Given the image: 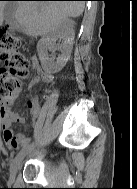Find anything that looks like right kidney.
I'll list each match as a JSON object with an SVG mask.
<instances>
[{"label": "right kidney", "instance_id": "obj_1", "mask_svg": "<svg viewBox=\"0 0 137 189\" xmlns=\"http://www.w3.org/2000/svg\"><path fill=\"white\" fill-rule=\"evenodd\" d=\"M73 25L69 20H63L55 30L44 35L37 44V52L43 69L48 73H57L62 70L70 59L74 43ZM63 39L61 45H57L56 41ZM59 50L61 54L56 61L49 58L48 51L55 52Z\"/></svg>", "mask_w": 137, "mask_h": 189}]
</instances>
